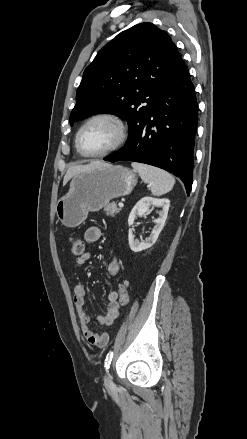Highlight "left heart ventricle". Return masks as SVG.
I'll list each match as a JSON object with an SVG mask.
<instances>
[{
    "mask_svg": "<svg viewBox=\"0 0 247 439\" xmlns=\"http://www.w3.org/2000/svg\"><path fill=\"white\" fill-rule=\"evenodd\" d=\"M117 135V128L111 121L96 120L84 129L80 144L84 152L97 153L113 145Z\"/></svg>",
    "mask_w": 247,
    "mask_h": 439,
    "instance_id": "b2bd125f",
    "label": "left heart ventricle"
}]
</instances>
